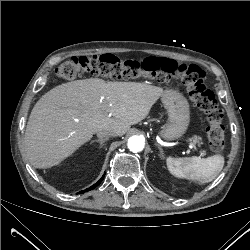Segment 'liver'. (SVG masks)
<instances>
[{"label":"liver","instance_id":"6515ba94","mask_svg":"<svg viewBox=\"0 0 250 250\" xmlns=\"http://www.w3.org/2000/svg\"><path fill=\"white\" fill-rule=\"evenodd\" d=\"M157 86L90 78L61 84L33 107L25 151L35 168H49L72 155L99 130L124 135L163 95Z\"/></svg>","mask_w":250,"mask_h":250}]
</instances>
